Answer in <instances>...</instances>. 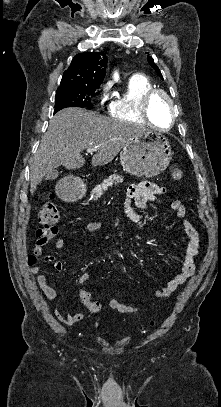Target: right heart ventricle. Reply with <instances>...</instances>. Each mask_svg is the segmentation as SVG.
Here are the masks:
<instances>
[{"label": "right heart ventricle", "instance_id": "obj_1", "mask_svg": "<svg viewBox=\"0 0 221 407\" xmlns=\"http://www.w3.org/2000/svg\"><path fill=\"white\" fill-rule=\"evenodd\" d=\"M153 89H155L153 84L144 75L131 77L125 91L109 103V115L117 120L145 124L146 121L140 113V106L144 96Z\"/></svg>", "mask_w": 221, "mask_h": 407}]
</instances>
